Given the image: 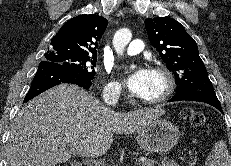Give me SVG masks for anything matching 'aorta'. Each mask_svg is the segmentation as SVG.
Masks as SVG:
<instances>
[{
    "label": "aorta",
    "mask_w": 231,
    "mask_h": 166,
    "mask_svg": "<svg viewBox=\"0 0 231 166\" xmlns=\"http://www.w3.org/2000/svg\"><path fill=\"white\" fill-rule=\"evenodd\" d=\"M132 38V33L129 29L123 28L118 30L113 37V46L116 53L120 56L124 54L125 47ZM135 66L133 65L132 68Z\"/></svg>",
    "instance_id": "1"
}]
</instances>
